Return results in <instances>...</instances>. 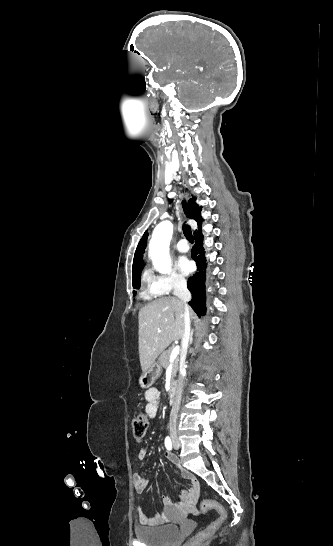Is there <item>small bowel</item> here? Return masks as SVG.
<instances>
[{"mask_svg": "<svg viewBox=\"0 0 333 546\" xmlns=\"http://www.w3.org/2000/svg\"><path fill=\"white\" fill-rule=\"evenodd\" d=\"M144 398L146 400V413L150 418H155L159 411L160 391L157 388L148 389ZM147 456V450L142 448L138 451L137 458L143 461ZM166 459L173 465L180 468L181 475L184 479L190 481V485L183 488L180 492L179 499L174 502L170 497L163 495L161 497L164 506V512L149 517L139 508V522L146 526H158L165 524L169 515L173 511H177L182 516H189L197 513L196 503L200 494L199 482L195 479L192 473L184 467H181L175 455L165 452ZM133 482L135 490L138 494H143L149 486V480L140 473L133 474Z\"/></svg>", "mask_w": 333, "mask_h": 546, "instance_id": "obj_1", "label": "small bowel"}]
</instances>
